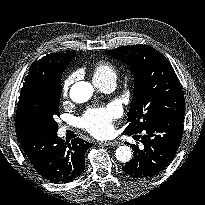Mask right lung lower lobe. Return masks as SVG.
Returning <instances> with one entry per match:
<instances>
[{"instance_id":"98d812e1","label":"right lung lower lobe","mask_w":205,"mask_h":205,"mask_svg":"<svg viewBox=\"0 0 205 205\" xmlns=\"http://www.w3.org/2000/svg\"><path fill=\"white\" fill-rule=\"evenodd\" d=\"M18 139L35 171L55 183L71 182L83 172L84 155L92 145L80 138L65 142L57 132H27Z\"/></svg>"}]
</instances>
